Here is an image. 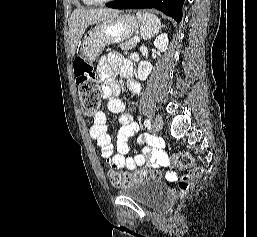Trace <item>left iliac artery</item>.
Wrapping results in <instances>:
<instances>
[{"instance_id":"44dca946","label":"left iliac artery","mask_w":257,"mask_h":237,"mask_svg":"<svg viewBox=\"0 0 257 237\" xmlns=\"http://www.w3.org/2000/svg\"><path fill=\"white\" fill-rule=\"evenodd\" d=\"M144 126H145L146 128H148V127L151 126V122H150L149 119H146V120L144 121Z\"/></svg>"}]
</instances>
